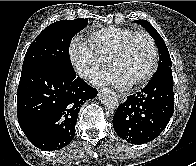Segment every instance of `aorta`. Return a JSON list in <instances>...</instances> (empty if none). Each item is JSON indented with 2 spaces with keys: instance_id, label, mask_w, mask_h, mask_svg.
<instances>
[{
  "instance_id": "aorta-1",
  "label": "aorta",
  "mask_w": 196,
  "mask_h": 166,
  "mask_svg": "<svg viewBox=\"0 0 196 166\" xmlns=\"http://www.w3.org/2000/svg\"><path fill=\"white\" fill-rule=\"evenodd\" d=\"M99 98L107 109H110V110H116L117 109V107H118V97L115 94V92H113L112 90H110V89L103 90L100 93Z\"/></svg>"
}]
</instances>
